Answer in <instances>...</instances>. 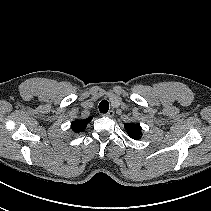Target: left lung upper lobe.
<instances>
[{
    "instance_id": "left-lung-upper-lobe-1",
    "label": "left lung upper lobe",
    "mask_w": 211,
    "mask_h": 211,
    "mask_svg": "<svg viewBox=\"0 0 211 211\" xmlns=\"http://www.w3.org/2000/svg\"><path fill=\"white\" fill-rule=\"evenodd\" d=\"M124 127L127 131V134L132 138V139H140L142 133H141V126L137 123H126L124 124Z\"/></svg>"
}]
</instances>
